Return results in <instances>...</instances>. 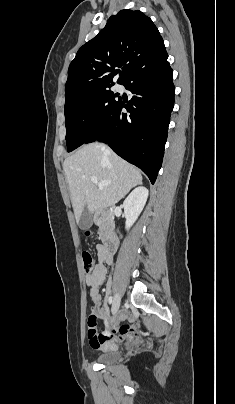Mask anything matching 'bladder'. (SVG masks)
Returning a JSON list of instances; mask_svg holds the SVG:
<instances>
[{"label": "bladder", "instance_id": "obj_1", "mask_svg": "<svg viewBox=\"0 0 235 404\" xmlns=\"http://www.w3.org/2000/svg\"><path fill=\"white\" fill-rule=\"evenodd\" d=\"M120 359V352L118 350L103 351L96 356V361L102 364L116 363Z\"/></svg>", "mask_w": 235, "mask_h": 404}]
</instances>
